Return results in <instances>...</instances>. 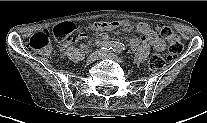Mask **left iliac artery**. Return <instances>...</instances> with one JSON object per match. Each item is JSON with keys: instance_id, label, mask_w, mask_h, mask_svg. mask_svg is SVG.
Here are the masks:
<instances>
[{"instance_id": "44dca946", "label": "left iliac artery", "mask_w": 207, "mask_h": 123, "mask_svg": "<svg viewBox=\"0 0 207 123\" xmlns=\"http://www.w3.org/2000/svg\"><path fill=\"white\" fill-rule=\"evenodd\" d=\"M125 50V47L122 43L116 42L114 48L112 49L115 53H121Z\"/></svg>"}]
</instances>
